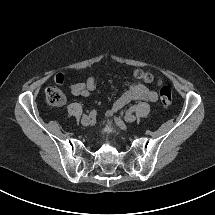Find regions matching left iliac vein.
Returning <instances> with one entry per match:
<instances>
[{"mask_svg": "<svg viewBox=\"0 0 215 215\" xmlns=\"http://www.w3.org/2000/svg\"><path fill=\"white\" fill-rule=\"evenodd\" d=\"M136 116L135 115H133V114H131V113H128V114H126L125 116H124V120L126 121V122H134V121H136ZM114 120L117 122V123H120V118H118V117H115L114 118Z\"/></svg>", "mask_w": 215, "mask_h": 215, "instance_id": "1", "label": "left iliac vein"}]
</instances>
